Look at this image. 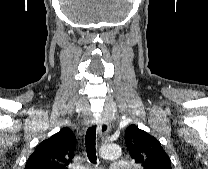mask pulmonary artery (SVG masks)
Wrapping results in <instances>:
<instances>
[{"label": "pulmonary artery", "instance_id": "e3ab8cb5", "mask_svg": "<svg viewBox=\"0 0 208 169\" xmlns=\"http://www.w3.org/2000/svg\"><path fill=\"white\" fill-rule=\"evenodd\" d=\"M132 166L129 161L125 159L117 158L113 160V163L110 166V169H131ZM81 169H88L86 167H82Z\"/></svg>", "mask_w": 208, "mask_h": 169}]
</instances>
